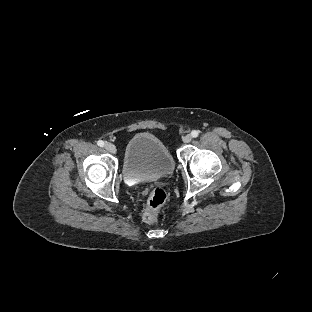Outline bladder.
Instances as JSON below:
<instances>
[{"instance_id": "bladder-1", "label": "bladder", "mask_w": 312, "mask_h": 312, "mask_svg": "<svg viewBox=\"0 0 312 312\" xmlns=\"http://www.w3.org/2000/svg\"><path fill=\"white\" fill-rule=\"evenodd\" d=\"M173 169L171 153L155 136L139 133L128 141L123 169L126 179H155L171 174Z\"/></svg>"}]
</instances>
